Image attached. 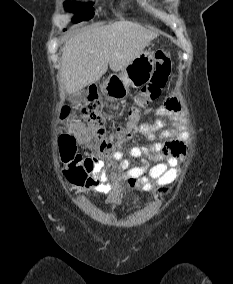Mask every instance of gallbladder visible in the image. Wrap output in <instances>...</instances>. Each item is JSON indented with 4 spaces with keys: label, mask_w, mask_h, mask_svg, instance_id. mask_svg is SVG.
Masks as SVG:
<instances>
[{
    "label": "gallbladder",
    "mask_w": 233,
    "mask_h": 284,
    "mask_svg": "<svg viewBox=\"0 0 233 284\" xmlns=\"http://www.w3.org/2000/svg\"><path fill=\"white\" fill-rule=\"evenodd\" d=\"M86 97H87V91L80 90L77 94L72 96L71 101L75 104H79L85 101Z\"/></svg>",
    "instance_id": "1"
}]
</instances>
